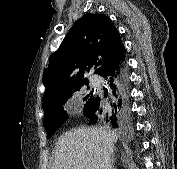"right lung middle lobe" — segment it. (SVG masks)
Returning a JSON list of instances; mask_svg holds the SVG:
<instances>
[{"mask_svg":"<svg viewBox=\"0 0 177 169\" xmlns=\"http://www.w3.org/2000/svg\"><path fill=\"white\" fill-rule=\"evenodd\" d=\"M80 90L81 86H77L62 95L56 101L43 105V109L45 112L44 125L48 138L51 137V135L60 127L63 122L66 121L68 117L67 113L64 111L63 104L73 93L79 92ZM94 97L95 95H93V91H91L83 98V101H86L84 105V113L89 110L94 101ZM125 121H121L118 127H122L125 124Z\"/></svg>","mask_w":177,"mask_h":169,"instance_id":"1","label":"right lung middle lobe"}]
</instances>
